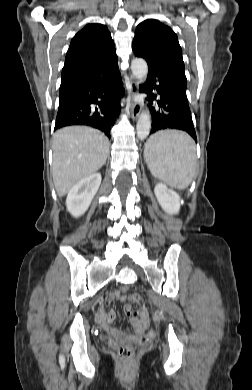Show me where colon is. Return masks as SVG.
<instances>
[{"instance_id": "colon-1", "label": "colon", "mask_w": 252, "mask_h": 390, "mask_svg": "<svg viewBox=\"0 0 252 390\" xmlns=\"http://www.w3.org/2000/svg\"><path fill=\"white\" fill-rule=\"evenodd\" d=\"M131 299L135 302L141 300L140 296L137 294L132 295ZM135 352L136 349L133 345L124 344L117 349V357L121 363H127L133 359Z\"/></svg>"}]
</instances>
